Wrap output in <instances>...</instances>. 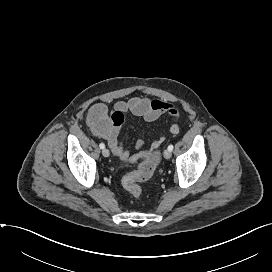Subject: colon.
<instances>
[{"label": "colon", "instance_id": "1", "mask_svg": "<svg viewBox=\"0 0 272 272\" xmlns=\"http://www.w3.org/2000/svg\"><path fill=\"white\" fill-rule=\"evenodd\" d=\"M124 120V114L120 111L108 112L103 104L93 105L88 113V122L96 131H103L107 128L119 127ZM155 169V160H146L142 162L137 170L127 174L122 179V185L134 198L139 199L142 194L138 182L146 181L151 178Z\"/></svg>", "mask_w": 272, "mask_h": 272}]
</instances>
